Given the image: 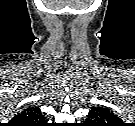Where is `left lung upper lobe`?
<instances>
[{
    "label": "left lung upper lobe",
    "mask_w": 135,
    "mask_h": 126,
    "mask_svg": "<svg viewBox=\"0 0 135 126\" xmlns=\"http://www.w3.org/2000/svg\"><path fill=\"white\" fill-rule=\"evenodd\" d=\"M86 121L92 126H117L120 119L106 108L94 107L90 110Z\"/></svg>",
    "instance_id": "left-lung-upper-lobe-1"
}]
</instances>
